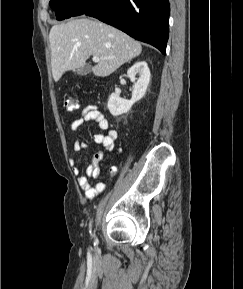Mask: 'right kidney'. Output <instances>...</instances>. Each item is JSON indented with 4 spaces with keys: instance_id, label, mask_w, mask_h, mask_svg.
Returning a JSON list of instances; mask_svg holds the SVG:
<instances>
[{
    "instance_id": "ca27d5eb",
    "label": "right kidney",
    "mask_w": 243,
    "mask_h": 289,
    "mask_svg": "<svg viewBox=\"0 0 243 289\" xmlns=\"http://www.w3.org/2000/svg\"><path fill=\"white\" fill-rule=\"evenodd\" d=\"M127 75L132 82H135L132 97L130 100L122 99L116 93H112L109 97L107 107L113 116H119L127 113L132 105L139 101L146 93L150 82V70L145 61H138L127 71ZM139 75V78L136 76Z\"/></svg>"
}]
</instances>
